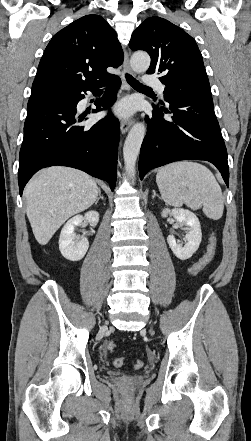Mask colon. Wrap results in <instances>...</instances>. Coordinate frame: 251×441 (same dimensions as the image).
Here are the masks:
<instances>
[{
  "label": "colon",
  "instance_id": "obj_1",
  "mask_svg": "<svg viewBox=\"0 0 251 441\" xmlns=\"http://www.w3.org/2000/svg\"><path fill=\"white\" fill-rule=\"evenodd\" d=\"M216 248H217V239L216 236L214 234L211 235L210 239H209V243L206 247V251L205 253L198 259V261L192 266L191 268V274L192 275H196L197 273H199L202 269H204L213 259L215 252H216ZM107 349L109 351H113L116 349V343L111 341L107 344ZM113 364L116 367H121L124 364V359L123 358H116L113 361ZM134 368L136 369H140L143 366V362L141 360H136L134 362Z\"/></svg>",
  "mask_w": 251,
  "mask_h": 441
}]
</instances>
